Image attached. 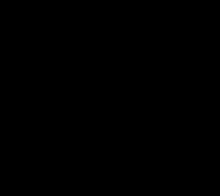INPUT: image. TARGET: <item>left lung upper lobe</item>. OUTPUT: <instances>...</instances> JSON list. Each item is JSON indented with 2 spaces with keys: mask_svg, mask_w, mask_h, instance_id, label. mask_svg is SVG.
I'll return each instance as SVG.
<instances>
[{
  "mask_svg": "<svg viewBox=\"0 0 220 196\" xmlns=\"http://www.w3.org/2000/svg\"><path fill=\"white\" fill-rule=\"evenodd\" d=\"M177 95V89L175 86H172V88H170V91L168 92V95L166 97V102L168 103V110L172 109L173 111V107H175V96ZM177 97V96H176Z\"/></svg>",
  "mask_w": 220,
  "mask_h": 196,
  "instance_id": "1",
  "label": "left lung upper lobe"
}]
</instances>
